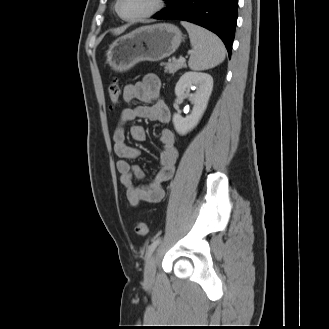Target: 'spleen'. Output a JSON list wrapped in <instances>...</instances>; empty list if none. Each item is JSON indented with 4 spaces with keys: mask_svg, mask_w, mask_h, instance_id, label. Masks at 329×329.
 Wrapping results in <instances>:
<instances>
[{
    "mask_svg": "<svg viewBox=\"0 0 329 329\" xmlns=\"http://www.w3.org/2000/svg\"><path fill=\"white\" fill-rule=\"evenodd\" d=\"M181 24L188 32L193 48L188 62L190 69L207 70L224 61L225 47L215 34L189 22L182 21Z\"/></svg>",
    "mask_w": 329,
    "mask_h": 329,
    "instance_id": "3e777b00",
    "label": "spleen"
}]
</instances>
